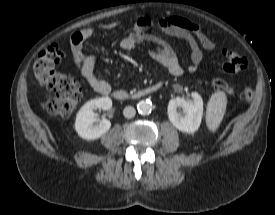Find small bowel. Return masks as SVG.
Wrapping results in <instances>:
<instances>
[{
    "label": "small bowel",
    "instance_id": "1",
    "mask_svg": "<svg viewBox=\"0 0 275 215\" xmlns=\"http://www.w3.org/2000/svg\"><path fill=\"white\" fill-rule=\"evenodd\" d=\"M154 26L186 42L191 51L189 72H195L199 68L203 59L202 48L210 52L215 50V44L195 22L180 16H163L154 19L149 15H141L135 20L132 30L120 40L119 48L130 51L140 44L153 45L155 49L149 52L150 58L166 67L172 76L182 75L184 68L172 47L149 32ZM118 27L119 24L115 22L101 25L97 29L87 27L75 32L70 38L71 54L76 67L80 70L85 82L96 92L104 95L110 92V85L97 77L95 65L98 56L96 53L85 54L83 44L93 37L97 30L112 31Z\"/></svg>",
    "mask_w": 275,
    "mask_h": 215
}]
</instances>
